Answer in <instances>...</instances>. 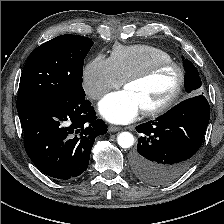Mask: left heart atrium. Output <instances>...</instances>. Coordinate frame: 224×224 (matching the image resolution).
<instances>
[{
  "label": "left heart atrium",
  "mask_w": 224,
  "mask_h": 224,
  "mask_svg": "<svg viewBox=\"0 0 224 224\" xmlns=\"http://www.w3.org/2000/svg\"><path fill=\"white\" fill-rule=\"evenodd\" d=\"M98 110L107 121L125 124L133 121L142 109L137 98L125 89L105 96Z\"/></svg>",
  "instance_id": "39dd6f15"
}]
</instances>
